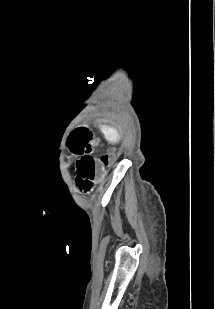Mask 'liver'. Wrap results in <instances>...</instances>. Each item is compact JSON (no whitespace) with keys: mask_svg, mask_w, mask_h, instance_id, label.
Segmentation results:
<instances>
[{"mask_svg":"<svg viewBox=\"0 0 215 309\" xmlns=\"http://www.w3.org/2000/svg\"><path fill=\"white\" fill-rule=\"evenodd\" d=\"M102 130L107 140H112V142H117V140H119L120 136L116 128H109V126H103Z\"/></svg>","mask_w":215,"mask_h":309,"instance_id":"1","label":"liver"}]
</instances>
